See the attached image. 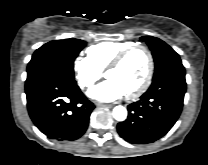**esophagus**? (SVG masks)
Returning <instances> with one entry per match:
<instances>
[{"label": "esophagus", "instance_id": "1", "mask_svg": "<svg viewBox=\"0 0 208 165\" xmlns=\"http://www.w3.org/2000/svg\"><path fill=\"white\" fill-rule=\"evenodd\" d=\"M96 105L99 106V107H106V108H111V107H113L112 104L97 103Z\"/></svg>", "mask_w": 208, "mask_h": 165}]
</instances>
